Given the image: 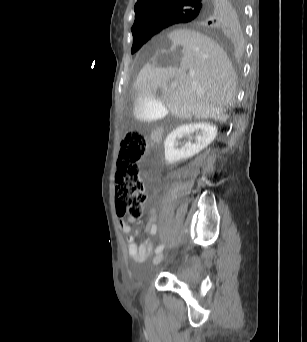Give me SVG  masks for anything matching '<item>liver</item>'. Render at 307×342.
<instances>
[{
	"mask_svg": "<svg viewBox=\"0 0 307 342\" xmlns=\"http://www.w3.org/2000/svg\"><path fill=\"white\" fill-rule=\"evenodd\" d=\"M167 38L140 70L134 95L155 98L157 88H162L171 116L226 122L225 108L233 106L236 94V74L223 48L194 30H173ZM170 80L177 82L174 90L168 86Z\"/></svg>",
	"mask_w": 307,
	"mask_h": 342,
	"instance_id": "liver-1",
	"label": "liver"
}]
</instances>
